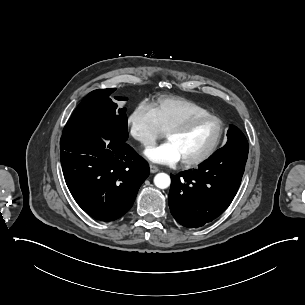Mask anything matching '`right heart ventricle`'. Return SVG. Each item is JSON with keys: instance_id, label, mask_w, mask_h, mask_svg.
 I'll return each instance as SVG.
<instances>
[{"instance_id": "obj_1", "label": "right heart ventricle", "mask_w": 305, "mask_h": 305, "mask_svg": "<svg viewBox=\"0 0 305 305\" xmlns=\"http://www.w3.org/2000/svg\"><path fill=\"white\" fill-rule=\"evenodd\" d=\"M150 106L162 130L186 118L208 113L204 107L176 96L159 97Z\"/></svg>"}]
</instances>
